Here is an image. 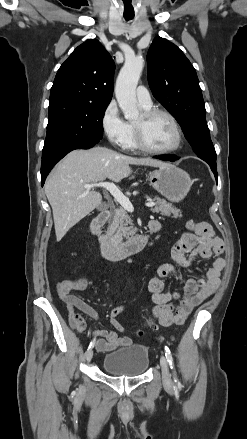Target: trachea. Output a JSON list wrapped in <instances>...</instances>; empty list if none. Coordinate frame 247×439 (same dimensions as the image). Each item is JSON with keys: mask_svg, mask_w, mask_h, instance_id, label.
I'll list each match as a JSON object with an SVG mask.
<instances>
[{"mask_svg": "<svg viewBox=\"0 0 247 439\" xmlns=\"http://www.w3.org/2000/svg\"><path fill=\"white\" fill-rule=\"evenodd\" d=\"M134 16H124V18L126 19V21H129L131 19H133Z\"/></svg>", "mask_w": 247, "mask_h": 439, "instance_id": "obj_1", "label": "trachea"}]
</instances>
